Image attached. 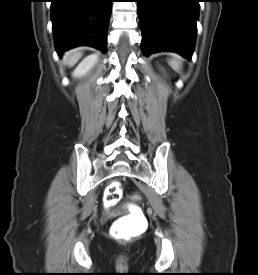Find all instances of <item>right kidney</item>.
I'll return each mask as SVG.
<instances>
[{
  "instance_id": "obj_1",
  "label": "right kidney",
  "mask_w": 258,
  "mask_h": 275,
  "mask_svg": "<svg viewBox=\"0 0 258 275\" xmlns=\"http://www.w3.org/2000/svg\"><path fill=\"white\" fill-rule=\"evenodd\" d=\"M97 61V54L89 55L78 64V66L73 71L72 76L75 78H81L85 76L94 67Z\"/></svg>"
}]
</instances>
